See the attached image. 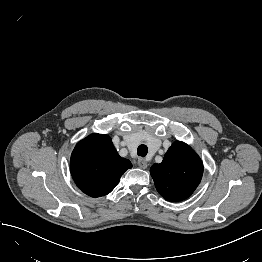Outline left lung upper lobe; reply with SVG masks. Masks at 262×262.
<instances>
[{
	"label": "left lung upper lobe",
	"mask_w": 262,
	"mask_h": 262,
	"mask_svg": "<svg viewBox=\"0 0 262 262\" xmlns=\"http://www.w3.org/2000/svg\"><path fill=\"white\" fill-rule=\"evenodd\" d=\"M151 176L157 191L168 201L188 198L199 185L203 164L200 157L187 144H172L162 163L151 167Z\"/></svg>",
	"instance_id": "left-lung-upper-lobe-1"
}]
</instances>
